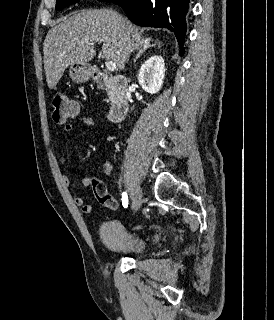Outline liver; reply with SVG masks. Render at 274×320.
Here are the masks:
<instances>
[{
    "label": "liver",
    "mask_w": 274,
    "mask_h": 320,
    "mask_svg": "<svg viewBox=\"0 0 274 320\" xmlns=\"http://www.w3.org/2000/svg\"><path fill=\"white\" fill-rule=\"evenodd\" d=\"M125 28H131L130 40L124 38ZM148 40L127 18L112 8L79 10L62 18L49 30L43 44V62L48 88L57 86L71 64H87L94 56L95 44H102L98 58L113 60L124 70L128 48L140 50Z\"/></svg>",
    "instance_id": "1"
}]
</instances>
